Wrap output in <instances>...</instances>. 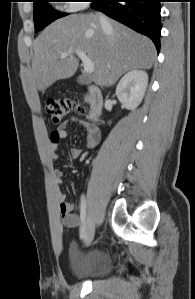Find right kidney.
<instances>
[{
  "label": "right kidney",
  "mask_w": 195,
  "mask_h": 299,
  "mask_svg": "<svg viewBox=\"0 0 195 299\" xmlns=\"http://www.w3.org/2000/svg\"><path fill=\"white\" fill-rule=\"evenodd\" d=\"M148 85L145 71L134 69L126 73L116 87V96L128 110H135L143 100Z\"/></svg>",
  "instance_id": "ca27d5eb"
}]
</instances>
